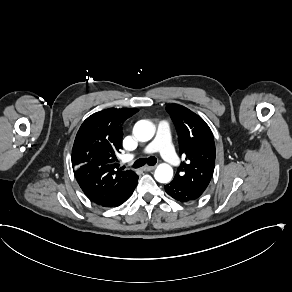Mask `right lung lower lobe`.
I'll return each mask as SVG.
<instances>
[{"instance_id":"right-lung-lower-lobe-1","label":"right lung lower lobe","mask_w":292,"mask_h":292,"mask_svg":"<svg viewBox=\"0 0 292 292\" xmlns=\"http://www.w3.org/2000/svg\"><path fill=\"white\" fill-rule=\"evenodd\" d=\"M138 183V177L125 189V191L117 198L114 200H111L105 204H101L100 206L102 207H116L121 205L124 201H126L131 194L133 193L135 187L137 186Z\"/></svg>"}]
</instances>
